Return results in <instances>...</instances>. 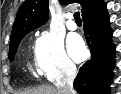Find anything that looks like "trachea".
I'll use <instances>...</instances> for the list:
<instances>
[{
  "label": "trachea",
  "instance_id": "1",
  "mask_svg": "<svg viewBox=\"0 0 121 94\" xmlns=\"http://www.w3.org/2000/svg\"><path fill=\"white\" fill-rule=\"evenodd\" d=\"M74 19L76 22H81V18H80V13L79 12H75L74 13Z\"/></svg>",
  "mask_w": 121,
  "mask_h": 94
}]
</instances>
